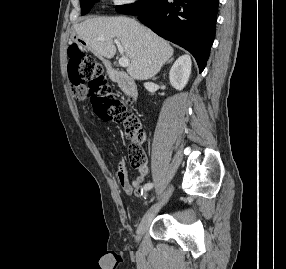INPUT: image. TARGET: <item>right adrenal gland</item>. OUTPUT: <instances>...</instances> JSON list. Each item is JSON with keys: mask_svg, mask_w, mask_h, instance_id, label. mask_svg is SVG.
I'll return each instance as SVG.
<instances>
[{"mask_svg": "<svg viewBox=\"0 0 286 269\" xmlns=\"http://www.w3.org/2000/svg\"><path fill=\"white\" fill-rule=\"evenodd\" d=\"M171 61H172V59L168 60V62H167V63H170Z\"/></svg>", "mask_w": 286, "mask_h": 269, "instance_id": "obj_1", "label": "right adrenal gland"}]
</instances>
